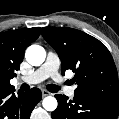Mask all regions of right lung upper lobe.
I'll return each mask as SVG.
<instances>
[{"label":"right lung upper lobe","mask_w":119,"mask_h":119,"mask_svg":"<svg viewBox=\"0 0 119 119\" xmlns=\"http://www.w3.org/2000/svg\"><path fill=\"white\" fill-rule=\"evenodd\" d=\"M40 35V28L17 29L0 33V93L14 90L10 80L20 69L24 51Z\"/></svg>","instance_id":"right-lung-upper-lobe-1"}]
</instances>
